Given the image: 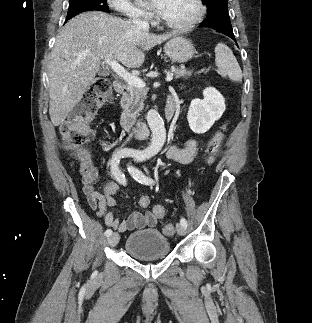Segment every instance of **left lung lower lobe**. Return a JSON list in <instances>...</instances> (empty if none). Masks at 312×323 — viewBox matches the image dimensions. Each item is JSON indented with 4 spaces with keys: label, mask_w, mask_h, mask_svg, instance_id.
I'll list each match as a JSON object with an SVG mask.
<instances>
[{
    "label": "left lung lower lobe",
    "mask_w": 312,
    "mask_h": 323,
    "mask_svg": "<svg viewBox=\"0 0 312 323\" xmlns=\"http://www.w3.org/2000/svg\"><path fill=\"white\" fill-rule=\"evenodd\" d=\"M215 30V29H214ZM216 31L225 34L227 36H229L230 38H232L234 41H236L235 36L233 34L232 28H228V27H221L216 29Z\"/></svg>",
    "instance_id": "1"
}]
</instances>
